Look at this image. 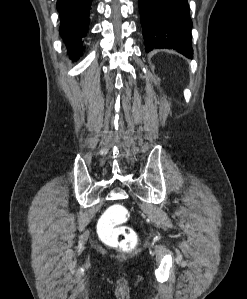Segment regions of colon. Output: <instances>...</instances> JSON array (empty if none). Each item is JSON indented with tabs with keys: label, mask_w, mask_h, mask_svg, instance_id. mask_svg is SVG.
<instances>
[{
	"label": "colon",
	"mask_w": 247,
	"mask_h": 299,
	"mask_svg": "<svg viewBox=\"0 0 247 299\" xmlns=\"http://www.w3.org/2000/svg\"><path fill=\"white\" fill-rule=\"evenodd\" d=\"M127 218L128 211L124 206L113 205L102 216L99 228L107 244L130 251L136 246L137 236L132 228L124 225Z\"/></svg>",
	"instance_id": "1"
}]
</instances>
